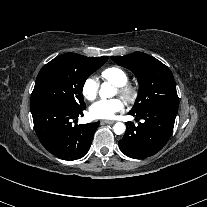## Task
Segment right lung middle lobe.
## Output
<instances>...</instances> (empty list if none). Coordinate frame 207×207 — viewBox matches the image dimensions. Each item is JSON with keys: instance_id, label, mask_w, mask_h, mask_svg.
<instances>
[{"instance_id": "dd1d6c3e", "label": "right lung middle lobe", "mask_w": 207, "mask_h": 207, "mask_svg": "<svg viewBox=\"0 0 207 207\" xmlns=\"http://www.w3.org/2000/svg\"><path fill=\"white\" fill-rule=\"evenodd\" d=\"M107 57L89 58L66 53L51 60L40 70L31 95V105L56 102L70 109L86 107L82 88L89 75L100 68Z\"/></svg>"}]
</instances>
